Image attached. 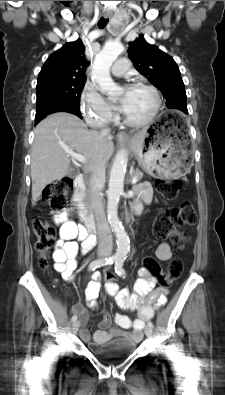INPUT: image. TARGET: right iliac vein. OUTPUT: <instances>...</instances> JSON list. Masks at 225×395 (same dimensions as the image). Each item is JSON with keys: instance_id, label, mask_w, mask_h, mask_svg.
Returning a JSON list of instances; mask_svg holds the SVG:
<instances>
[{"instance_id": "63e3f726", "label": "right iliac vein", "mask_w": 225, "mask_h": 395, "mask_svg": "<svg viewBox=\"0 0 225 395\" xmlns=\"http://www.w3.org/2000/svg\"><path fill=\"white\" fill-rule=\"evenodd\" d=\"M79 326H80L79 321H75V322L73 323V325H72V330H73L74 333H76V332L78 331Z\"/></svg>"}]
</instances>
